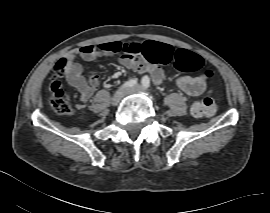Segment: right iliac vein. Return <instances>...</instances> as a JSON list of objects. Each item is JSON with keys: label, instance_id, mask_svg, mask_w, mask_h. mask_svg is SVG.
I'll use <instances>...</instances> for the list:
<instances>
[{"label": "right iliac vein", "instance_id": "right-iliac-vein-1", "mask_svg": "<svg viewBox=\"0 0 270 213\" xmlns=\"http://www.w3.org/2000/svg\"><path fill=\"white\" fill-rule=\"evenodd\" d=\"M124 93H125V89L122 87L119 88L113 95L112 104L117 105L121 101V99L123 98Z\"/></svg>", "mask_w": 270, "mask_h": 213}]
</instances>
